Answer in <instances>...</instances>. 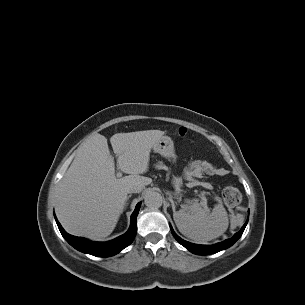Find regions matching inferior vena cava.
Here are the masks:
<instances>
[{
    "mask_svg": "<svg viewBox=\"0 0 305 305\" xmlns=\"http://www.w3.org/2000/svg\"><path fill=\"white\" fill-rule=\"evenodd\" d=\"M143 190V186L141 185H135V186H131L128 189V193H139Z\"/></svg>",
    "mask_w": 305,
    "mask_h": 305,
    "instance_id": "inferior-vena-cava-1",
    "label": "inferior vena cava"
}]
</instances>
